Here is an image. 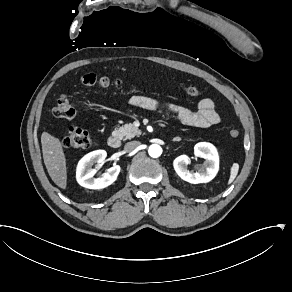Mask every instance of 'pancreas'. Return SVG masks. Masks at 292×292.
<instances>
[{"label":"pancreas","mask_w":292,"mask_h":292,"mask_svg":"<svg viewBox=\"0 0 292 292\" xmlns=\"http://www.w3.org/2000/svg\"><path fill=\"white\" fill-rule=\"evenodd\" d=\"M141 135V131L138 129V127L134 126L133 124H125L124 126L118 128L116 130V137L120 139H131L135 136Z\"/></svg>","instance_id":"cf45deb5"}]
</instances>
